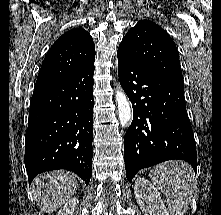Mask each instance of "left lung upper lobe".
I'll list each match as a JSON object with an SVG mask.
<instances>
[{"label":"left lung upper lobe","instance_id":"5c2ea615","mask_svg":"<svg viewBox=\"0 0 221 215\" xmlns=\"http://www.w3.org/2000/svg\"><path fill=\"white\" fill-rule=\"evenodd\" d=\"M118 50L140 66L183 87L176 45L156 23L149 20L139 21L125 35Z\"/></svg>","mask_w":221,"mask_h":215}]
</instances>
